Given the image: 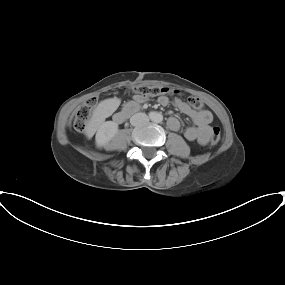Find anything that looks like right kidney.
<instances>
[{
  "mask_svg": "<svg viewBox=\"0 0 285 285\" xmlns=\"http://www.w3.org/2000/svg\"><path fill=\"white\" fill-rule=\"evenodd\" d=\"M118 132V124L113 121L102 123L96 133L95 142L98 148L108 146L109 141Z\"/></svg>",
  "mask_w": 285,
  "mask_h": 285,
  "instance_id": "obj_1",
  "label": "right kidney"
}]
</instances>
